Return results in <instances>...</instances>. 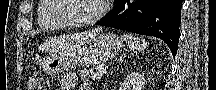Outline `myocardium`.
I'll return each mask as SVG.
<instances>
[{
    "label": "myocardium",
    "mask_w": 216,
    "mask_h": 90,
    "mask_svg": "<svg viewBox=\"0 0 216 90\" xmlns=\"http://www.w3.org/2000/svg\"><path fill=\"white\" fill-rule=\"evenodd\" d=\"M97 1L98 3H101V7L99 9V12L96 15H94L93 17L87 20L79 21L77 23H72L66 21L63 17L59 16V15H64L66 9H69L67 0H52V3H56L58 8H55V11H53V14H51V20L69 29L76 30L77 28L89 27L95 24L96 22H98L106 14L108 10V6L106 5V0H97Z\"/></svg>",
    "instance_id": "1"
}]
</instances>
